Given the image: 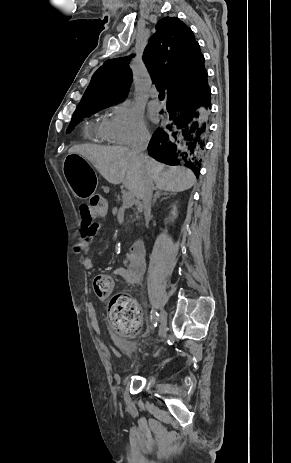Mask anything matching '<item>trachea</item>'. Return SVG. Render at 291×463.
Instances as JSON below:
<instances>
[{"mask_svg":"<svg viewBox=\"0 0 291 463\" xmlns=\"http://www.w3.org/2000/svg\"><path fill=\"white\" fill-rule=\"evenodd\" d=\"M165 98V93L164 92H160L159 93V99L160 100H163Z\"/></svg>","mask_w":291,"mask_h":463,"instance_id":"3493384b","label":"trachea"}]
</instances>
